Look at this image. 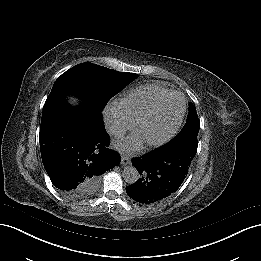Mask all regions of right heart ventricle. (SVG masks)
Here are the masks:
<instances>
[{"mask_svg": "<svg viewBox=\"0 0 261 261\" xmlns=\"http://www.w3.org/2000/svg\"><path fill=\"white\" fill-rule=\"evenodd\" d=\"M173 91L160 84L150 83L130 90L115 102L119 115L127 122L171 97Z\"/></svg>", "mask_w": 261, "mask_h": 261, "instance_id": "e07e8e85", "label": "right heart ventricle"}]
</instances>
